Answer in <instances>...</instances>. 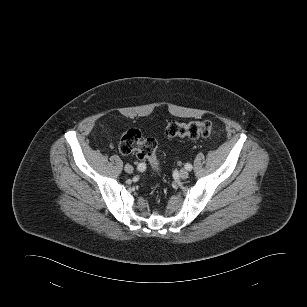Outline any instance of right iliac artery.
Segmentation results:
<instances>
[{"instance_id": "82829eb1", "label": "right iliac artery", "mask_w": 307, "mask_h": 307, "mask_svg": "<svg viewBox=\"0 0 307 307\" xmlns=\"http://www.w3.org/2000/svg\"><path fill=\"white\" fill-rule=\"evenodd\" d=\"M137 169L139 171H144L146 169V165L144 163H140L138 166H137Z\"/></svg>"}]
</instances>
